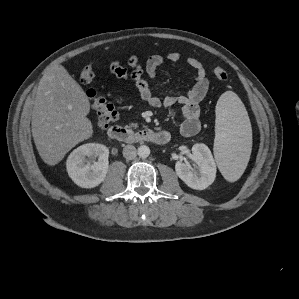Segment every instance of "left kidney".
Segmentation results:
<instances>
[{
    "instance_id": "1",
    "label": "left kidney",
    "mask_w": 299,
    "mask_h": 299,
    "mask_svg": "<svg viewBox=\"0 0 299 299\" xmlns=\"http://www.w3.org/2000/svg\"><path fill=\"white\" fill-rule=\"evenodd\" d=\"M192 154L196 164L191 166L188 161H177L176 174L190 188L204 190L215 180L216 164L210 149L205 144L193 145Z\"/></svg>"
}]
</instances>
